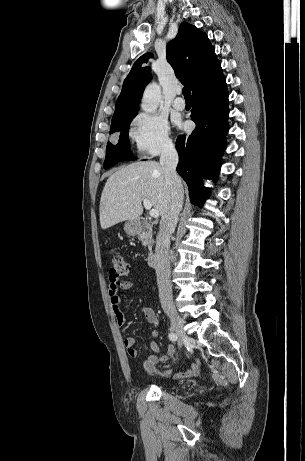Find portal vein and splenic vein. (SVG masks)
<instances>
[{"label": "portal vein and splenic vein", "mask_w": 305, "mask_h": 461, "mask_svg": "<svg viewBox=\"0 0 305 461\" xmlns=\"http://www.w3.org/2000/svg\"><path fill=\"white\" fill-rule=\"evenodd\" d=\"M143 205L145 209L149 210V215L153 218L159 217V212L156 209H152V204L148 199H143Z\"/></svg>", "instance_id": "obj_1"}]
</instances>
